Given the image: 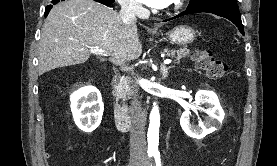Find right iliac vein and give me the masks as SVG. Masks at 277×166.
<instances>
[{
  "label": "right iliac vein",
  "instance_id": "1",
  "mask_svg": "<svg viewBox=\"0 0 277 166\" xmlns=\"http://www.w3.org/2000/svg\"><path fill=\"white\" fill-rule=\"evenodd\" d=\"M128 166H143V165L141 162L134 161V162H130Z\"/></svg>",
  "mask_w": 277,
  "mask_h": 166
}]
</instances>
